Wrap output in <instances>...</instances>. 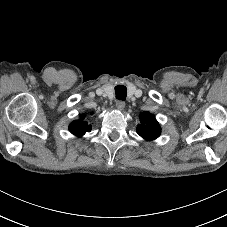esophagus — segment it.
Instances as JSON below:
<instances>
[{
  "label": "esophagus",
  "instance_id": "obj_1",
  "mask_svg": "<svg viewBox=\"0 0 227 227\" xmlns=\"http://www.w3.org/2000/svg\"><path fill=\"white\" fill-rule=\"evenodd\" d=\"M115 105L118 110H123L125 108V102L121 100L116 101Z\"/></svg>",
  "mask_w": 227,
  "mask_h": 227
}]
</instances>
